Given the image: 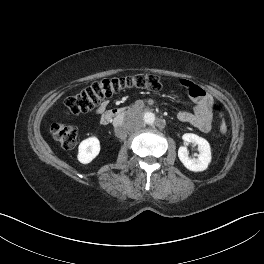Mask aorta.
Returning a JSON list of instances; mask_svg holds the SVG:
<instances>
[{
    "instance_id": "obj_1",
    "label": "aorta",
    "mask_w": 264,
    "mask_h": 264,
    "mask_svg": "<svg viewBox=\"0 0 264 264\" xmlns=\"http://www.w3.org/2000/svg\"><path fill=\"white\" fill-rule=\"evenodd\" d=\"M143 121L146 124H153L155 122V114L152 112H146L143 116Z\"/></svg>"
}]
</instances>
